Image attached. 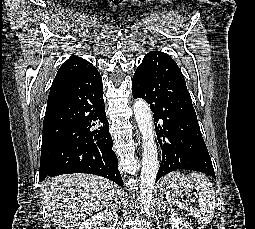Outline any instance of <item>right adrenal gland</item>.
Returning a JSON list of instances; mask_svg holds the SVG:
<instances>
[{
    "mask_svg": "<svg viewBox=\"0 0 255 229\" xmlns=\"http://www.w3.org/2000/svg\"><path fill=\"white\" fill-rule=\"evenodd\" d=\"M120 205H121V203H120L119 199L115 198V203L111 205V209L117 208V210H118Z\"/></svg>",
    "mask_w": 255,
    "mask_h": 229,
    "instance_id": "1",
    "label": "right adrenal gland"
}]
</instances>
